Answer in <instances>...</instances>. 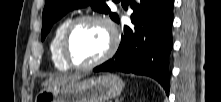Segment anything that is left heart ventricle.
I'll use <instances>...</instances> for the list:
<instances>
[{
    "label": "left heart ventricle",
    "mask_w": 221,
    "mask_h": 102,
    "mask_svg": "<svg viewBox=\"0 0 221 102\" xmlns=\"http://www.w3.org/2000/svg\"><path fill=\"white\" fill-rule=\"evenodd\" d=\"M109 35L106 28L97 22L78 24L71 33L68 54L76 64H88L99 58L107 49Z\"/></svg>",
    "instance_id": "b2bd125f"
}]
</instances>
